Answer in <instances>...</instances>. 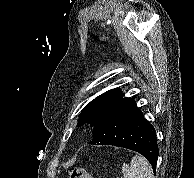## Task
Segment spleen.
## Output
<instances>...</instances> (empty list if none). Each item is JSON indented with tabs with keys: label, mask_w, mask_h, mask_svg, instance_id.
<instances>
[{
	"label": "spleen",
	"mask_w": 194,
	"mask_h": 178,
	"mask_svg": "<svg viewBox=\"0 0 194 178\" xmlns=\"http://www.w3.org/2000/svg\"><path fill=\"white\" fill-rule=\"evenodd\" d=\"M123 178H154L149 162L140 155L132 157L130 166L122 165Z\"/></svg>",
	"instance_id": "spleen-1"
}]
</instances>
